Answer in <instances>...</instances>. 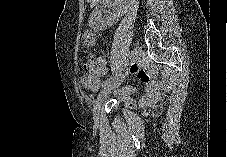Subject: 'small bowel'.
Returning <instances> with one entry per match:
<instances>
[{
  "instance_id": "c3829d8e",
  "label": "small bowel",
  "mask_w": 227,
  "mask_h": 157,
  "mask_svg": "<svg viewBox=\"0 0 227 157\" xmlns=\"http://www.w3.org/2000/svg\"><path fill=\"white\" fill-rule=\"evenodd\" d=\"M129 72L135 74L139 79L145 84V89L140 96L139 101H136L131 97L133 93L136 92L134 86L128 85L115 91V94L121 99L124 104L129 108H135L138 105H147L154 98H156L158 93L157 84L152 79L148 71L138 66L136 63L131 64L129 67ZM107 73V62L105 59H99L95 69L92 74V82L88 86L92 91H96L100 85V78Z\"/></svg>"
}]
</instances>
